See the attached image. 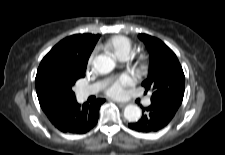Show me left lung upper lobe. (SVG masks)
I'll return each mask as SVG.
<instances>
[{"mask_svg": "<svg viewBox=\"0 0 225 155\" xmlns=\"http://www.w3.org/2000/svg\"><path fill=\"white\" fill-rule=\"evenodd\" d=\"M150 52L148 78L142 83L152 91L151 101L173 102L181 105L185 76L174 52L161 40L147 34H139Z\"/></svg>", "mask_w": 225, "mask_h": 155, "instance_id": "left-lung-upper-lobe-1", "label": "left lung upper lobe"}]
</instances>
